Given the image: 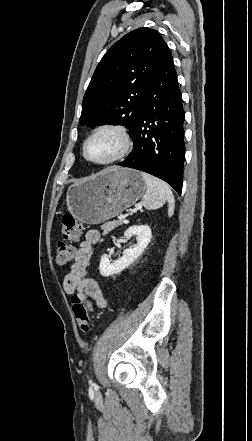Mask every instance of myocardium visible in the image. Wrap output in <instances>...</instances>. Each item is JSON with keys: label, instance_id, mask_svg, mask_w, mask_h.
<instances>
[{"label": "myocardium", "instance_id": "obj_1", "mask_svg": "<svg viewBox=\"0 0 252 441\" xmlns=\"http://www.w3.org/2000/svg\"><path fill=\"white\" fill-rule=\"evenodd\" d=\"M101 133H112L115 136H117L120 141V148L117 151V153H115L110 158L98 161L88 157L87 145L94 137H96ZM132 146H133V142L131 136L128 130L124 126L116 125V124H102L96 127L85 139L82 146V155L84 159L91 164L99 165V166H109L117 162H120L125 157H127L132 150Z\"/></svg>", "mask_w": 252, "mask_h": 441}]
</instances>
